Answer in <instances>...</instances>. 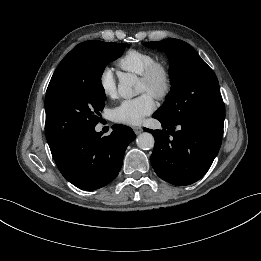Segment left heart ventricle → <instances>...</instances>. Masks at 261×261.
Masks as SVG:
<instances>
[{
	"instance_id": "obj_1",
	"label": "left heart ventricle",
	"mask_w": 261,
	"mask_h": 261,
	"mask_svg": "<svg viewBox=\"0 0 261 261\" xmlns=\"http://www.w3.org/2000/svg\"><path fill=\"white\" fill-rule=\"evenodd\" d=\"M139 92L150 93L147 85L142 80H140V82H139Z\"/></svg>"
}]
</instances>
